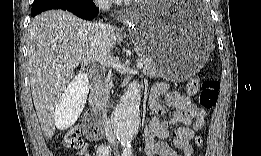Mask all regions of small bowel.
I'll return each instance as SVG.
<instances>
[{
	"instance_id": "1",
	"label": "small bowel",
	"mask_w": 261,
	"mask_h": 156,
	"mask_svg": "<svg viewBox=\"0 0 261 156\" xmlns=\"http://www.w3.org/2000/svg\"><path fill=\"white\" fill-rule=\"evenodd\" d=\"M165 96L163 106L159 99ZM150 108L154 116L150 119L144 142L146 156H190L193 148L190 144L195 134L205 125L206 112L192 103L186 95L170 90L165 82L156 83L150 94ZM171 110L167 117H161ZM172 141L174 148L169 144ZM90 144L85 143L77 152L88 156Z\"/></svg>"
}]
</instances>
